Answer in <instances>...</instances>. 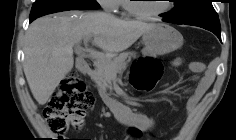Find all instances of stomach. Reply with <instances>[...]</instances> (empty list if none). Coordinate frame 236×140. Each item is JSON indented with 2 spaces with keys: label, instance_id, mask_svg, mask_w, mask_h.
Wrapping results in <instances>:
<instances>
[{
  "label": "stomach",
  "instance_id": "1",
  "mask_svg": "<svg viewBox=\"0 0 236 140\" xmlns=\"http://www.w3.org/2000/svg\"><path fill=\"white\" fill-rule=\"evenodd\" d=\"M145 45L143 54L156 56L171 53L183 45V36L172 26L159 23L142 36Z\"/></svg>",
  "mask_w": 236,
  "mask_h": 140
}]
</instances>
